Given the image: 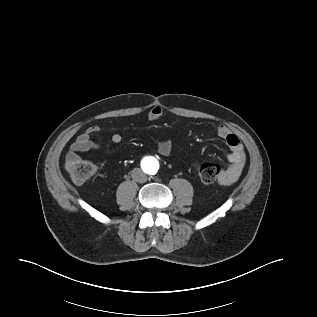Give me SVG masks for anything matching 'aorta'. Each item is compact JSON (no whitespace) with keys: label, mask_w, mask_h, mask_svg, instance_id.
Wrapping results in <instances>:
<instances>
[{"label":"aorta","mask_w":317,"mask_h":317,"mask_svg":"<svg viewBox=\"0 0 317 317\" xmlns=\"http://www.w3.org/2000/svg\"><path fill=\"white\" fill-rule=\"evenodd\" d=\"M150 174H155L157 172V162L155 161L154 167L149 170Z\"/></svg>","instance_id":"762f6f07"}]
</instances>
